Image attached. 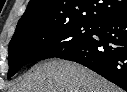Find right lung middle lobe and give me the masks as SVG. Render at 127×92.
Here are the masks:
<instances>
[{
  "label": "right lung middle lobe",
  "mask_w": 127,
  "mask_h": 92,
  "mask_svg": "<svg viewBox=\"0 0 127 92\" xmlns=\"http://www.w3.org/2000/svg\"><path fill=\"white\" fill-rule=\"evenodd\" d=\"M93 27L94 25L85 23L37 27L11 39L7 78H11L28 63L53 58L69 51L88 39Z\"/></svg>",
  "instance_id": "obj_1"
}]
</instances>
